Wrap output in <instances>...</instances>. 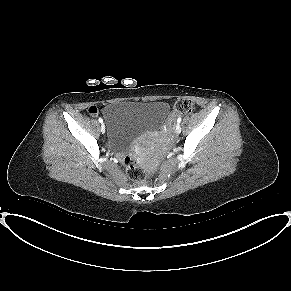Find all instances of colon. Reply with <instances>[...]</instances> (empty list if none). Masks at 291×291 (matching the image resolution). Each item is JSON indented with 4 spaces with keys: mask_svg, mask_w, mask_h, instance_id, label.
<instances>
[{
    "mask_svg": "<svg viewBox=\"0 0 291 291\" xmlns=\"http://www.w3.org/2000/svg\"><path fill=\"white\" fill-rule=\"evenodd\" d=\"M194 110V104L192 103V101L187 99H181L177 101L174 105V112L178 114H190ZM89 111L91 113H95V108L91 107ZM123 161L127 168V175L132 181L140 183L145 179L144 172L135 165V162L130 155L126 154Z\"/></svg>",
    "mask_w": 291,
    "mask_h": 291,
    "instance_id": "obj_1",
    "label": "colon"
}]
</instances>
